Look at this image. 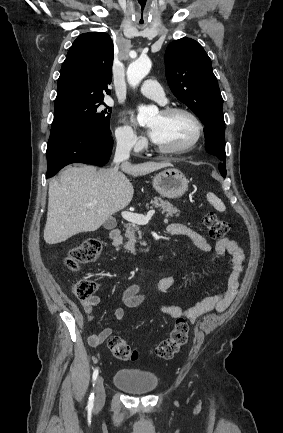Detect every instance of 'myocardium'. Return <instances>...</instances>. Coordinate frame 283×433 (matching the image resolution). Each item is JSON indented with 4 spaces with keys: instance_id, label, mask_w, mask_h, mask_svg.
Masks as SVG:
<instances>
[{
    "instance_id": "f54148a6",
    "label": "myocardium",
    "mask_w": 283,
    "mask_h": 433,
    "mask_svg": "<svg viewBox=\"0 0 283 433\" xmlns=\"http://www.w3.org/2000/svg\"><path fill=\"white\" fill-rule=\"evenodd\" d=\"M160 113L163 116L169 117L176 114H186L188 115L196 124V134L194 138L184 147L179 149H165V148H158V152L165 156V157H176V156H182L189 152H191L202 140L205 132L204 123L201 120V118L191 109L186 107H180V106H170L163 108Z\"/></svg>"
}]
</instances>
